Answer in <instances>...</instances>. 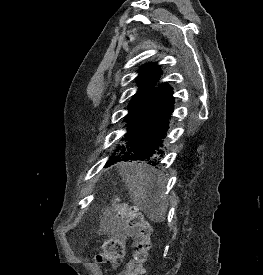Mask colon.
Segmentation results:
<instances>
[{
    "instance_id": "1",
    "label": "colon",
    "mask_w": 263,
    "mask_h": 275,
    "mask_svg": "<svg viewBox=\"0 0 263 275\" xmlns=\"http://www.w3.org/2000/svg\"><path fill=\"white\" fill-rule=\"evenodd\" d=\"M116 214L129 230L133 238L132 259L120 275H142L151 248L152 227L143 214L122 203H115ZM125 256L124 242L118 238L106 239L102 244V252L96 256L100 265L115 269Z\"/></svg>"
}]
</instances>
